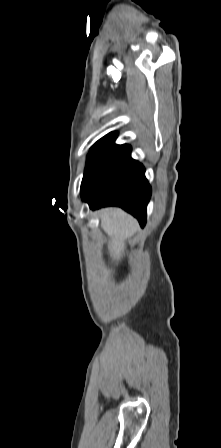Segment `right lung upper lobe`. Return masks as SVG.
I'll return each instance as SVG.
<instances>
[{
	"instance_id": "cb5924a9",
	"label": "right lung upper lobe",
	"mask_w": 221,
	"mask_h": 448,
	"mask_svg": "<svg viewBox=\"0 0 221 448\" xmlns=\"http://www.w3.org/2000/svg\"><path fill=\"white\" fill-rule=\"evenodd\" d=\"M118 133L117 132H111L98 140L92 148H111L115 149L118 148L121 145L114 144L115 139L117 138Z\"/></svg>"
}]
</instances>
